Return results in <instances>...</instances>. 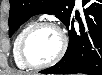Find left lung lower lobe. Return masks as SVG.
Instances as JSON below:
<instances>
[{"label": "left lung lower lobe", "mask_w": 102, "mask_h": 75, "mask_svg": "<svg viewBox=\"0 0 102 75\" xmlns=\"http://www.w3.org/2000/svg\"><path fill=\"white\" fill-rule=\"evenodd\" d=\"M89 2L84 10L85 24L75 16L81 24L79 32L73 27L74 15L65 24L69 45L63 58L40 73L102 75V1L83 0V5Z\"/></svg>", "instance_id": "left-lung-lower-lobe-1"}]
</instances>
